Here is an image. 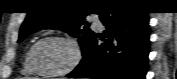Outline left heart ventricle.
<instances>
[{
  "label": "left heart ventricle",
  "instance_id": "obj_1",
  "mask_svg": "<svg viewBox=\"0 0 177 79\" xmlns=\"http://www.w3.org/2000/svg\"><path fill=\"white\" fill-rule=\"evenodd\" d=\"M72 46L60 40H48L40 44L35 51L37 65L47 71L62 70L73 59Z\"/></svg>",
  "mask_w": 177,
  "mask_h": 79
}]
</instances>
